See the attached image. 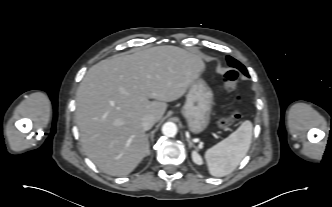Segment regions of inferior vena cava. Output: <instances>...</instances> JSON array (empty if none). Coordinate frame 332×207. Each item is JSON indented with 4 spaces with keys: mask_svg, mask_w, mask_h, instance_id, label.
<instances>
[{
    "mask_svg": "<svg viewBox=\"0 0 332 207\" xmlns=\"http://www.w3.org/2000/svg\"><path fill=\"white\" fill-rule=\"evenodd\" d=\"M156 120L153 115H147L142 118V127L144 130H149L155 124Z\"/></svg>",
    "mask_w": 332,
    "mask_h": 207,
    "instance_id": "inferior-vena-cava-1",
    "label": "inferior vena cava"
}]
</instances>
